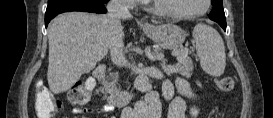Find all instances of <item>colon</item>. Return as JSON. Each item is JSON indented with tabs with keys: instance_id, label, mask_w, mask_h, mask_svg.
Masks as SVG:
<instances>
[{
	"instance_id": "obj_1",
	"label": "colon",
	"mask_w": 273,
	"mask_h": 118,
	"mask_svg": "<svg viewBox=\"0 0 273 118\" xmlns=\"http://www.w3.org/2000/svg\"><path fill=\"white\" fill-rule=\"evenodd\" d=\"M93 81L87 80L74 85L68 92V100L72 105L82 106L88 103L91 97ZM216 86L223 92H230L234 89L235 83L232 77H221L216 80ZM36 111L41 118H50L60 109L59 99L50 93L42 84L36 89Z\"/></svg>"
}]
</instances>
